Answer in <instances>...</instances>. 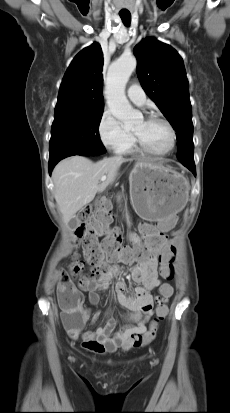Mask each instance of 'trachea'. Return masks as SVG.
<instances>
[{
  "label": "trachea",
  "mask_w": 230,
  "mask_h": 413,
  "mask_svg": "<svg viewBox=\"0 0 230 413\" xmlns=\"http://www.w3.org/2000/svg\"><path fill=\"white\" fill-rule=\"evenodd\" d=\"M119 16H120L121 20L123 21V23L126 26H129V24L131 22V14L129 12L128 13H119Z\"/></svg>",
  "instance_id": "1"
}]
</instances>
